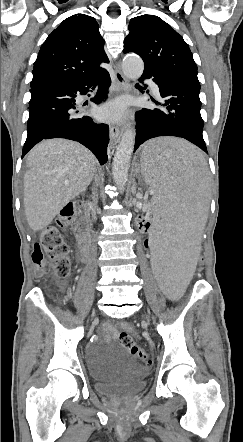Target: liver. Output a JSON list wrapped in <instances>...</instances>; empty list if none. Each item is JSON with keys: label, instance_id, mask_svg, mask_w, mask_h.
<instances>
[{"label": "liver", "instance_id": "6515ba94", "mask_svg": "<svg viewBox=\"0 0 243 442\" xmlns=\"http://www.w3.org/2000/svg\"><path fill=\"white\" fill-rule=\"evenodd\" d=\"M26 165L25 215L30 228L37 232L47 227L66 204L86 190L95 173L96 158L77 142L49 139L30 151Z\"/></svg>", "mask_w": 243, "mask_h": 442}]
</instances>
